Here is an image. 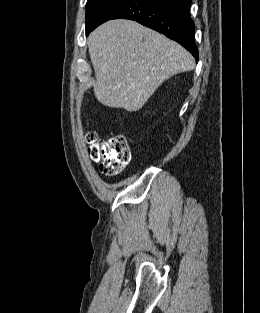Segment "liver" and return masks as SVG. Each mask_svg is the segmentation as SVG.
Masks as SVG:
<instances>
[{
	"label": "liver",
	"instance_id": "1",
	"mask_svg": "<svg viewBox=\"0 0 260 313\" xmlns=\"http://www.w3.org/2000/svg\"><path fill=\"white\" fill-rule=\"evenodd\" d=\"M94 95L105 106L141 109L169 77L191 71L192 55L164 35L126 19L108 21L88 38Z\"/></svg>",
	"mask_w": 260,
	"mask_h": 313
}]
</instances>
